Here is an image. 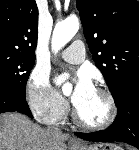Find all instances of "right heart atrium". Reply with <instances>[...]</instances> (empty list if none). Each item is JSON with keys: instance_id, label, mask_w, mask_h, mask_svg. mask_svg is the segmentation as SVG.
I'll return each instance as SVG.
<instances>
[{"instance_id": "obj_1", "label": "right heart atrium", "mask_w": 139, "mask_h": 150, "mask_svg": "<svg viewBox=\"0 0 139 150\" xmlns=\"http://www.w3.org/2000/svg\"><path fill=\"white\" fill-rule=\"evenodd\" d=\"M26 95L30 110L43 123L59 122L68 112V103L51 87L48 74L42 69L31 72Z\"/></svg>"}]
</instances>
